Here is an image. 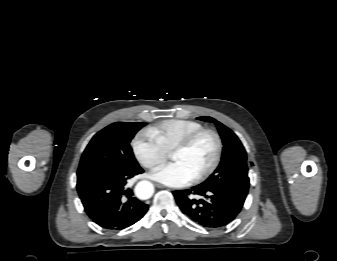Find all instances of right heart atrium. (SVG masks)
I'll return each instance as SVG.
<instances>
[{
  "label": "right heart atrium",
  "instance_id": "obj_1",
  "mask_svg": "<svg viewBox=\"0 0 337 261\" xmlns=\"http://www.w3.org/2000/svg\"><path fill=\"white\" fill-rule=\"evenodd\" d=\"M133 151L138 161L151 169L164 162L168 152L149 131H140L134 138Z\"/></svg>",
  "mask_w": 337,
  "mask_h": 261
}]
</instances>
